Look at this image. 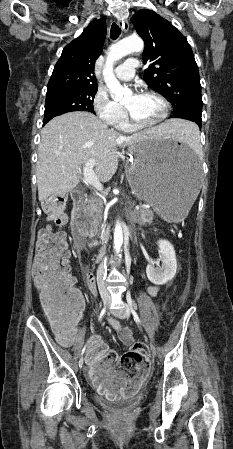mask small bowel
Instances as JSON below:
<instances>
[{
	"label": "small bowel",
	"mask_w": 233,
	"mask_h": 449,
	"mask_svg": "<svg viewBox=\"0 0 233 449\" xmlns=\"http://www.w3.org/2000/svg\"><path fill=\"white\" fill-rule=\"evenodd\" d=\"M83 278L86 279L88 291L97 295L99 292L95 280L96 274L87 272ZM158 290L157 286L148 288L151 296H156ZM112 325L118 331V336L124 345L130 346L134 343L132 331L128 327L122 326L117 320H112ZM54 328L58 341L63 346H71L76 335L74 324L66 327L55 323ZM118 359L117 353L100 336L90 338L86 362L89 366L90 379L99 389L98 399H132L135 390H141L145 381L144 377H149V368H134L133 375H124L123 368H115Z\"/></svg>",
	"instance_id": "c3829d8e"
}]
</instances>
